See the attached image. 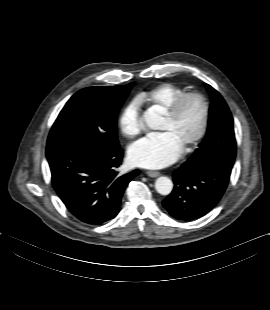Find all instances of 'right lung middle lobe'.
I'll return each mask as SVG.
<instances>
[{
  "mask_svg": "<svg viewBox=\"0 0 270 310\" xmlns=\"http://www.w3.org/2000/svg\"><path fill=\"white\" fill-rule=\"evenodd\" d=\"M131 86L89 87L75 93L58 115L47 146L74 145L108 151L119 148L117 114Z\"/></svg>",
  "mask_w": 270,
  "mask_h": 310,
  "instance_id": "right-lung-middle-lobe-1",
  "label": "right lung middle lobe"
}]
</instances>
